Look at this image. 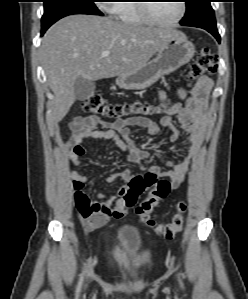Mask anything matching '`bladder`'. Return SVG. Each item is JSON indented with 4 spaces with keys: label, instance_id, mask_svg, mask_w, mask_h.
I'll use <instances>...</instances> for the list:
<instances>
[{
    "label": "bladder",
    "instance_id": "1",
    "mask_svg": "<svg viewBox=\"0 0 248 299\" xmlns=\"http://www.w3.org/2000/svg\"><path fill=\"white\" fill-rule=\"evenodd\" d=\"M108 251L111 270L123 283L135 284L149 277L153 270L151 258H145L138 265L133 263L137 256L148 251L139 230L131 224H123L113 233Z\"/></svg>",
    "mask_w": 248,
    "mask_h": 299
}]
</instances>
